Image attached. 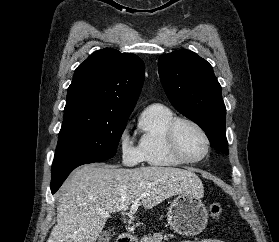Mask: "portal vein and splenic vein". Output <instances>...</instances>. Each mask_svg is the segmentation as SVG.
I'll return each instance as SVG.
<instances>
[{"label":"portal vein and splenic vein","mask_w":279,"mask_h":242,"mask_svg":"<svg viewBox=\"0 0 279 242\" xmlns=\"http://www.w3.org/2000/svg\"><path fill=\"white\" fill-rule=\"evenodd\" d=\"M140 199H141V198H137V199H135V200L132 202V205H131L130 211H129V213H130L131 215L137 211V209H138V207H139ZM103 216L106 217V218H109V217H110V214L104 213Z\"/></svg>","instance_id":"18ae733b"}]
</instances>
